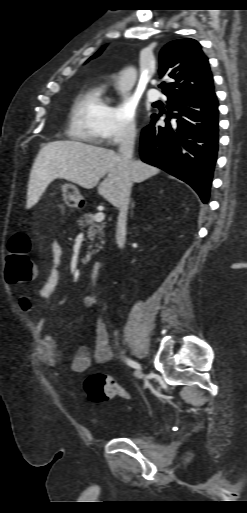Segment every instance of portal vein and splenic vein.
<instances>
[{
	"label": "portal vein and splenic vein",
	"mask_w": 247,
	"mask_h": 513,
	"mask_svg": "<svg viewBox=\"0 0 247 513\" xmlns=\"http://www.w3.org/2000/svg\"><path fill=\"white\" fill-rule=\"evenodd\" d=\"M105 219V214L103 212H97L94 216L95 222H102Z\"/></svg>",
	"instance_id": "1"
}]
</instances>
